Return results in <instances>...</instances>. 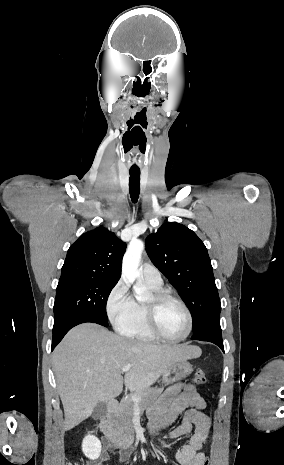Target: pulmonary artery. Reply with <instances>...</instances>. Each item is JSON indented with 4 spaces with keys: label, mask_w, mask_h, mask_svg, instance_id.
<instances>
[{
    "label": "pulmonary artery",
    "mask_w": 284,
    "mask_h": 465,
    "mask_svg": "<svg viewBox=\"0 0 284 465\" xmlns=\"http://www.w3.org/2000/svg\"><path fill=\"white\" fill-rule=\"evenodd\" d=\"M141 276L143 280L150 285H161L162 278L159 270L149 264L142 265Z\"/></svg>",
    "instance_id": "obj_1"
}]
</instances>
